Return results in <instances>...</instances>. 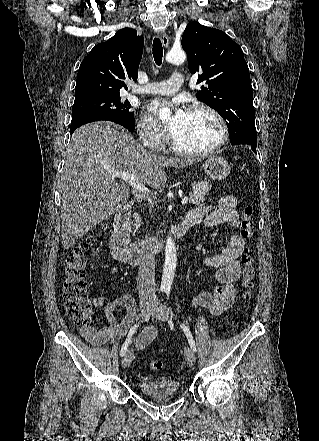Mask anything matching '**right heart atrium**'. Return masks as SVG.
<instances>
[{
  "label": "right heart atrium",
  "mask_w": 319,
  "mask_h": 441,
  "mask_svg": "<svg viewBox=\"0 0 319 441\" xmlns=\"http://www.w3.org/2000/svg\"><path fill=\"white\" fill-rule=\"evenodd\" d=\"M137 132L141 142L150 149L161 150L167 143L165 131L146 114L140 117Z\"/></svg>",
  "instance_id": "obj_1"
}]
</instances>
